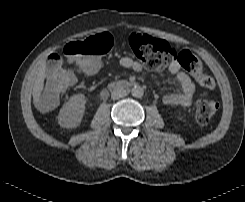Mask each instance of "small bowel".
Masks as SVG:
<instances>
[{
    "mask_svg": "<svg viewBox=\"0 0 245 202\" xmlns=\"http://www.w3.org/2000/svg\"><path fill=\"white\" fill-rule=\"evenodd\" d=\"M118 64L126 69H130L134 72H141V65L131 57H121L118 59ZM169 73L174 76L179 85V90L171 92L163 97V103L167 106H188L190 105L193 95L195 93V84L192 81L189 74L184 71L178 61H174L169 66ZM98 71V65L89 64L87 72L90 74ZM54 107L53 103L42 99L39 102L38 109L42 114H48Z\"/></svg>",
    "mask_w": 245,
    "mask_h": 202,
    "instance_id": "c3829d8e",
    "label": "small bowel"
}]
</instances>
